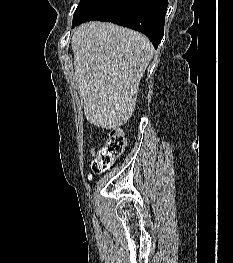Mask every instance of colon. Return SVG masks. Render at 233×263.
Wrapping results in <instances>:
<instances>
[{
  "instance_id": "colon-1",
  "label": "colon",
  "mask_w": 233,
  "mask_h": 263,
  "mask_svg": "<svg viewBox=\"0 0 233 263\" xmlns=\"http://www.w3.org/2000/svg\"><path fill=\"white\" fill-rule=\"evenodd\" d=\"M126 145L127 139L121 128L109 129L106 133L105 143L92 161V172L97 174L111 169L116 158L123 153Z\"/></svg>"
}]
</instances>
